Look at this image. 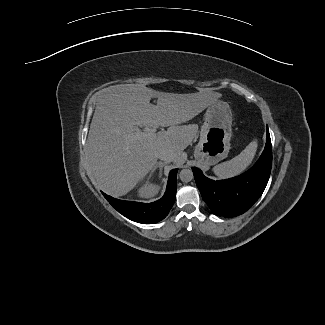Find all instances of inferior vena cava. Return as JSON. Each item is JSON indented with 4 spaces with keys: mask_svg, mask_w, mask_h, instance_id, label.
<instances>
[{
    "mask_svg": "<svg viewBox=\"0 0 325 325\" xmlns=\"http://www.w3.org/2000/svg\"><path fill=\"white\" fill-rule=\"evenodd\" d=\"M157 157L165 162H171L174 160L173 153L164 149L158 152Z\"/></svg>",
    "mask_w": 325,
    "mask_h": 325,
    "instance_id": "obj_1",
    "label": "inferior vena cava"
}]
</instances>
